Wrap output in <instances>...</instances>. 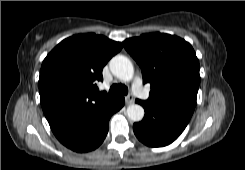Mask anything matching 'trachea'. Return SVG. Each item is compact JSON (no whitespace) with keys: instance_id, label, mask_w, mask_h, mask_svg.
I'll return each mask as SVG.
<instances>
[{"instance_id":"3493384b","label":"trachea","mask_w":245,"mask_h":170,"mask_svg":"<svg viewBox=\"0 0 245 170\" xmlns=\"http://www.w3.org/2000/svg\"><path fill=\"white\" fill-rule=\"evenodd\" d=\"M109 92L112 94L120 93L123 95H127L128 94V88L124 84H121V83L120 84H113L110 87Z\"/></svg>"}]
</instances>
